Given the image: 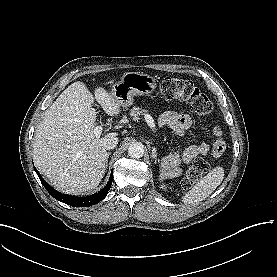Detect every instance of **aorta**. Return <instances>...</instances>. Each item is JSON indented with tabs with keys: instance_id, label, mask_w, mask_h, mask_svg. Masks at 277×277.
Wrapping results in <instances>:
<instances>
[{
	"instance_id": "762f6f07",
	"label": "aorta",
	"mask_w": 277,
	"mask_h": 277,
	"mask_svg": "<svg viewBox=\"0 0 277 277\" xmlns=\"http://www.w3.org/2000/svg\"><path fill=\"white\" fill-rule=\"evenodd\" d=\"M144 145L141 142H134L128 148V155L131 158H141L144 154Z\"/></svg>"
}]
</instances>
